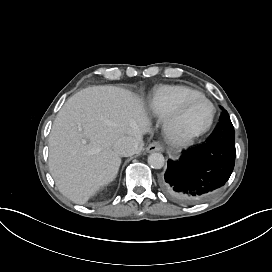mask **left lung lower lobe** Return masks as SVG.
<instances>
[{
  "label": "left lung lower lobe",
  "mask_w": 272,
  "mask_h": 272,
  "mask_svg": "<svg viewBox=\"0 0 272 272\" xmlns=\"http://www.w3.org/2000/svg\"><path fill=\"white\" fill-rule=\"evenodd\" d=\"M235 146L206 142L184 151L178 161H168L161 177L162 190L174 201L193 205L217 193L235 164Z\"/></svg>",
  "instance_id": "1"
}]
</instances>
